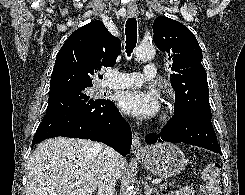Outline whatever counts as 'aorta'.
<instances>
[{"mask_svg": "<svg viewBox=\"0 0 245 195\" xmlns=\"http://www.w3.org/2000/svg\"><path fill=\"white\" fill-rule=\"evenodd\" d=\"M155 56V48L152 45H139L135 50V57L138 61H149ZM133 186L127 188L126 195H134Z\"/></svg>", "mask_w": 245, "mask_h": 195, "instance_id": "obj_1", "label": "aorta"}]
</instances>
